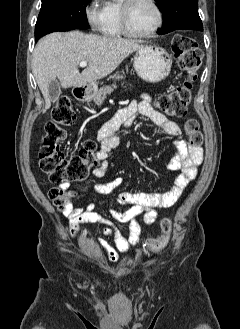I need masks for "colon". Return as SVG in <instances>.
<instances>
[{"label": "colon", "instance_id": "obj_1", "mask_svg": "<svg viewBox=\"0 0 240 329\" xmlns=\"http://www.w3.org/2000/svg\"><path fill=\"white\" fill-rule=\"evenodd\" d=\"M172 49L179 69L186 75L187 80L182 86L160 95L155 105L170 116L183 117L191 101V88L196 80L202 63L203 53L198 43L191 37L177 34L172 40ZM76 114L67 96H61L52 110V120L45 126V136L39 151V163L42 171L55 184H67L85 180L90 170L97 164V144L93 140H86L77 154L67 157L60 149V143L65 138L64 127L72 125ZM185 130L189 135L192 146L203 144V135L195 119H188ZM49 197L55 207L64 211L73 199V194L62 188H53ZM162 233L150 238L147 246L150 251L164 249L170 239L172 223L169 218L161 222Z\"/></svg>", "mask_w": 240, "mask_h": 329}]
</instances>
